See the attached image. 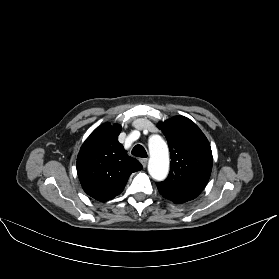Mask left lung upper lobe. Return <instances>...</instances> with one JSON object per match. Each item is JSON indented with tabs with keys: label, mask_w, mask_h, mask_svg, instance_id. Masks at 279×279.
Wrapping results in <instances>:
<instances>
[{
	"label": "left lung upper lobe",
	"mask_w": 279,
	"mask_h": 279,
	"mask_svg": "<svg viewBox=\"0 0 279 279\" xmlns=\"http://www.w3.org/2000/svg\"><path fill=\"white\" fill-rule=\"evenodd\" d=\"M157 126L168 141L171 155L168 177L156 183L160 194L177 204L195 199L205 188L212 169L207 138L184 116H175Z\"/></svg>",
	"instance_id": "left-lung-upper-lobe-1"
}]
</instances>
